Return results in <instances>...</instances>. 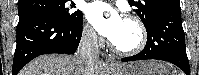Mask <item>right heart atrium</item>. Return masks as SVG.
Instances as JSON below:
<instances>
[{
    "instance_id": "right-heart-atrium-1",
    "label": "right heart atrium",
    "mask_w": 199,
    "mask_h": 75,
    "mask_svg": "<svg viewBox=\"0 0 199 75\" xmlns=\"http://www.w3.org/2000/svg\"><path fill=\"white\" fill-rule=\"evenodd\" d=\"M83 38L88 43H91V44H95L98 42L97 33L95 32L94 28L88 23H85L83 26Z\"/></svg>"
}]
</instances>
